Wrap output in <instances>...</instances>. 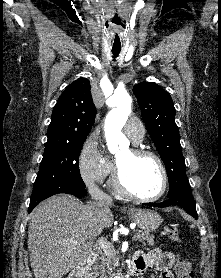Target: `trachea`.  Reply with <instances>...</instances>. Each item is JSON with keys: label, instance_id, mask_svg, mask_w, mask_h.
I'll return each mask as SVG.
<instances>
[{"label": "trachea", "instance_id": "1", "mask_svg": "<svg viewBox=\"0 0 221 278\" xmlns=\"http://www.w3.org/2000/svg\"><path fill=\"white\" fill-rule=\"evenodd\" d=\"M112 54H113V61H115L116 60V58L118 57V55L120 54V52H121V48H112Z\"/></svg>", "mask_w": 221, "mask_h": 278}]
</instances>
